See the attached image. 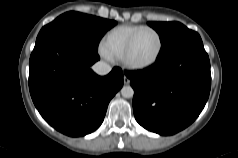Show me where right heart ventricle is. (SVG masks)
<instances>
[{
	"label": "right heart ventricle",
	"mask_w": 238,
	"mask_h": 158,
	"mask_svg": "<svg viewBox=\"0 0 238 158\" xmlns=\"http://www.w3.org/2000/svg\"><path fill=\"white\" fill-rule=\"evenodd\" d=\"M142 25H120L109 30L101 43V47L113 58H121L123 51L131 38V36L140 28Z\"/></svg>",
	"instance_id": "e07e8e85"
}]
</instances>
